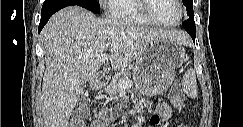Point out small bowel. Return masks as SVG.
Masks as SVG:
<instances>
[{
	"label": "small bowel",
	"instance_id": "c3829d8e",
	"mask_svg": "<svg viewBox=\"0 0 243 127\" xmlns=\"http://www.w3.org/2000/svg\"><path fill=\"white\" fill-rule=\"evenodd\" d=\"M173 109L184 111L186 109L185 100L171 97L170 104H158L156 107V112L150 120L151 126H164L172 118ZM92 127L101 126H98L97 122H94Z\"/></svg>",
	"mask_w": 243,
	"mask_h": 127
}]
</instances>
